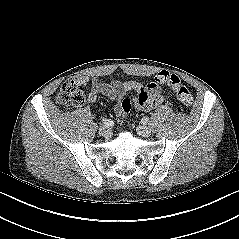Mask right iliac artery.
<instances>
[{
    "label": "right iliac artery",
    "mask_w": 239,
    "mask_h": 239,
    "mask_svg": "<svg viewBox=\"0 0 239 239\" xmlns=\"http://www.w3.org/2000/svg\"><path fill=\"white\" fill-rule=\"evenodd\" d=\"M112 124H113V122L108 119L103 120V125L105 127H110V126H112Z\"/></svg>",
    "instance_id": "obj_1"
}]
</instances>
